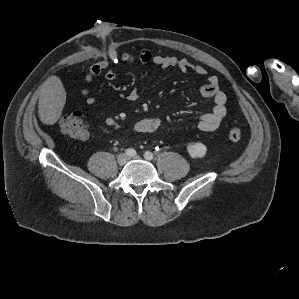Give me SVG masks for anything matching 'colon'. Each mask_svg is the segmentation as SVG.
I'll use <instances>...</instances> for the list:
<instances>
[{
	"mask_svg": "<svg viewBox=\"0 0 299 299\" xmlns=\"http://www.w3.org/2000/svg\"><path fill=\"white\" fill-rule=\"evenodd\" d=\"M61 131L74 139H86L89 137V128L79 111H74L61 117L59 121ZM242 131L238 126L233 127L227 134L230 141H239Z\"/></svg>",
	"mask_w": 299,
	"mask_h": 299,
	"instance_id": "obj_1",
	"label": "colon"
}]
</instances>
